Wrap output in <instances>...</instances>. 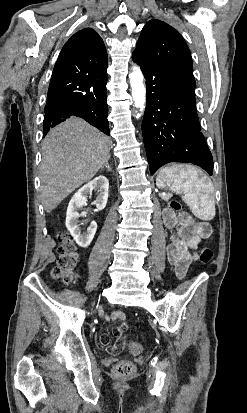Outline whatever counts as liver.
<instances>
[{
	"instance_id": "6515ba94",
	"label": "liver",
	"mask_w": 247,
	"mask_h": 413,
	"mask_svg": "<svg viewBox=\"0 0 247 413\" xmlns=\"http://www.w3.org/2000/svg\"><path fill=\"white\" fill-rule=\"evenodd\" d=\"M112 140L82 118H67L49 130L42 144L40 194L51 213L72 190L91 180L110 158Z\"/></svg>"
}]
</instances>
